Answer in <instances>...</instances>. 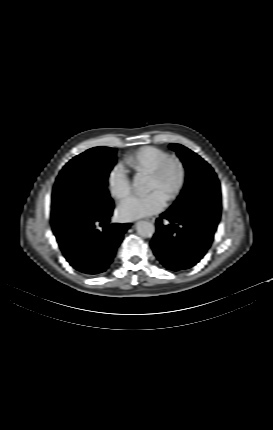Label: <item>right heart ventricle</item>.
I'll return each instance as SVG.
<instances>
[{"label": "right heart ventricle", "instance_id": "obj_1", "mask_svg": "<svg viewBox=\"0 0 273 430\" xmlns=\"http://www.w3.org/2000/svg\"><path fill=\"white\" fill-rule=\"evenodd\" d=\"M170 154L158 147L144 146L125 158V164L136 173L151 174Z\"/></svg>", "mask_w": 273, "mask_h": 430}]
</instances>
